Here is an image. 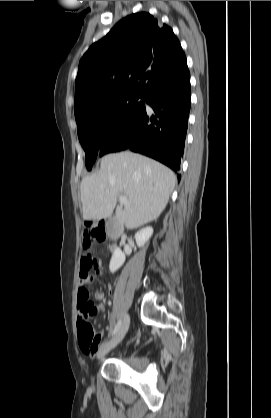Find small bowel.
I'll return each instance as SVG.
<instances>
[{"label": "small bowel", "instance_id": "c3829d8e", "mask_svg": "<svg viewBox=\"0 0 271 418\" xmlns=\"http://www.w3.org/2000/svg\"><path fill=\"white\" fill-rule=\"evenodd\" d=\"M95 269H99V264L96 263L95 266H93ZM89 266V259L87 257H83L80 262V285L77 292V303H78V322L79 323H94L95 316L94 314H98L100 310L103 309V305L99 304L96 305L95 299H90V292L88 289H86V284L88 283L90 276L89 272L90 269L93 268ZM103 292L97 291L94 294V297L96 299H102L103 298ZM98 345L95 346V348L90 350L82 349L83 353L88 356H95Z\"/></svg>", "mask_w": 271, "mask_h": 418}]
</instances>
